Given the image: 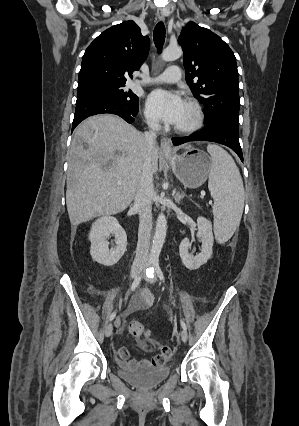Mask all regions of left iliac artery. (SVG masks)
I'll return each mask as SVG.
<instances>
[{
  "label": "left iliac artery",
  "mask_w": 299,
  "mask_h": 426,
  "mask_svg": "<svg viewBox=\"0 0 299 426\" xmlns=\"http://www.w3.org/2000/svg\"><path fill=\"white\" fill-rule=\"evenodd\" d=\"M153 266H154V268L152 269V270H153V272H154V269H155V272H156V274H157L158 278H159L161 281H163V282H164V275H163V272H162V270H161V268H160V266H159L158 261H154V262H153ZM151 275H152V272H151V271L146 270V276L151 277ZM180 323H181L182 328H183L184 330H186V329H187V326H186L185 322H184L183 320H180Z\"/></svg>",
  "instance_id": "1"
}]
</instances>
